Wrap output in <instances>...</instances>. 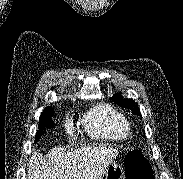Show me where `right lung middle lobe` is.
Instances as JSON below:
<instances>
[{
    "mask_svg": "<svg viewBox=\"0 0 183 179\" xmlns=\"http://www.w3.org/2000/svg\"><path fill=\"white\" fill-rule=\"evenodd\" d=\"M54 111L51 107L46 108L40 116L39 121V130L36 132L35 135V142L44 135L47 128H52L54 126V122L51 120V116H53Z\"/></svg>",
    "mask_w": 183,
    "mask_h": 179,
    "instance_id": "1",
    "label": "right lung middle lobe"
}]
</instances>
